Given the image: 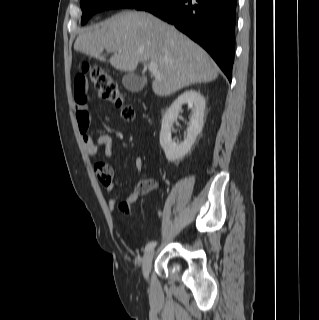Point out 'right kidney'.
Returning <instances> with one entry per match:
<instances>
[{
    "label": "right kidney",
    "instance_id": "obj_1",
    "mask_svg": "<svg viewBox=\"0 0 319 320\" xmlns=\"http://www.w3.org/2000/svg\"><path fill=\"white\" fill-rule=\"evenodd\" d=\"M205 103V98L199 91L187 90L178 96L165 112L161 125L160 145L169 162L179 161L190 152L198 134L202 132ZM183 104H188L193 109V114L190 118L186 138L178 144L171 138V126L178 118Z\"/></svg>",
    "mask_w": 319,
    "mask_h": 320
}]
</instances>
